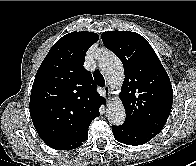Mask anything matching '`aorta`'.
I'll list each match as a JSON object with an SVG mask.
<instances>
[{
    "label": "aorta",
    "instance_id": "obj_1",
    "mask_svg": "<svg viewBox=\"0 0 196 166\" xmlns=\"http://www.w3.org/2000/svg\"><path fill=\"white\" fill-rule=\"evenodd\" d=\"M98 64L107 82L113 88H120L124 80V69L120 59L113 52L104 51L98 59ZM106 116L113 125L124 123L126 113L120 99L108 103Z\"/></svg>",
    "mask_w": 196,
    "mask_h": 166
}]
</instances>
